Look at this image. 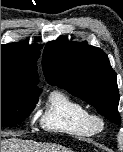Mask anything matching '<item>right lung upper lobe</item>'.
<instances>
[{"label":"right lung upper lobe","mask_w":123,"mask_h":152,"mask_svg":"<svg viewBox=\"0 0 123 152\" xmlns=\"http://www.w3.org/2000/svg\"><path fill=\"white\" fill-rule=\"evenodd\" d=\"M42 45L11 43L1 45V78H10L22 87L38 89L36 61Z\"/></svg>","instance_id":"obj_1"}]
</instances>
